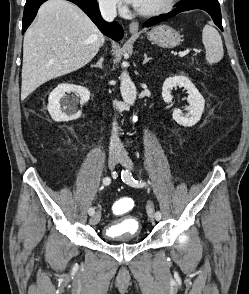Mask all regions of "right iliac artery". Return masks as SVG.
<instances>
[{"label": "right iliac artery", "mask_w": 249, "mask_h": 294, "mask_svg": "<svg viewBox=\"0 0 249 294\" xmlns=\"http://www.w3.org/2000/svg\"><path fill=\"white\" fill-rule=\"evenodd\" d=\"M114 173L115 172H113V174ZM102 182L104 185H109L111 183V179H110V177H105V178H103ZM88 213H89V215L92 216L95 213V209L93 207L89 208Z\"/></svg>", "instance_id": "82829eb1"}]
</instances>
